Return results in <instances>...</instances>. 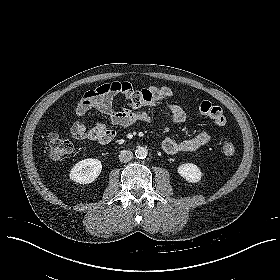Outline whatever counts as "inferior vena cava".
I'll return each mask as SVG.
<instances>
[{
    "instance_id": "602c4592",
    "label": "inferior vena cava",
    "mask_w": 280,
    "mask_h": 280,
    "mask_svg": "<svg viewBox=\"0 0 280 280\" xmlns=\"http://www.w3.org/2000/svg\"><path fill=\"white\" fill-rule=\"evenodd\" d=\"M133 158V153L130 151H121L119 153V160L121 162L127 163Z\"/></svg>"
}]
</instances>
